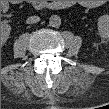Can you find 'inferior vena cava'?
<instances>
[{"instance_id":"602c4592","label":"inferior vena cava","mask_w":109,"mask_h":109,"mask_svg":"<svg viewBox=\"0 0 109 109\" xmlns=\"http://www.w3.org/2000/svg\"><path fill=\"white\" fill-rule=\"evenodd\" d=\"M40 21V17L38 16H30L27 18L26 22L27 24H34Z\"/></svg>"}]
</instances>
